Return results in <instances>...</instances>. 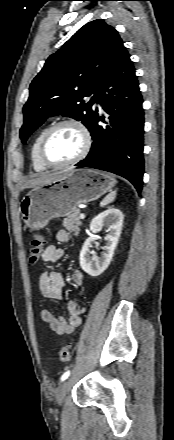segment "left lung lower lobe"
Masks as SVG:
<instances>
[{
	"label": "left lung lower lobe",
	"instance_id": "left-lung-lower-lobe-1",
	"mask_svg": "<svg viewBox=\"0 0 174 440\" xmlns=\"http://www.w3.org/2000/svg\"><path fill=\"white\" fill-rule=\"evenodd\" d=\"M95 102L105 111L94 110L89 126L93 139L88 156L76 166L91 167L120 175L141 193L144 174L143 99L130 55L124 49L100 86ZM105 123L104 126L98 122Z\"/></svg>",
	"mask_w": 174,
	"mask_h": 440
}]
</instances>
